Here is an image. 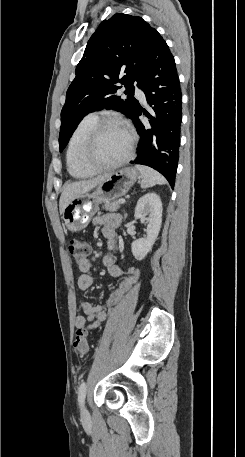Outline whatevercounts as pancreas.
<instances>
[{"mask_svg":"<svg viewBox=\"0 0 245 457\" xmlns=\"http://www.w3.org/2000/svg\"><path fill=\"white\" fill-rule=\"evenodd\" d=\"M120 204H122V202H118V200H113V202H105L102 208H105V210H110V212H113V210H118Z\"/></svg>","mask_w":245,"mask_h":457,"instance_id":"cf45deb5","label":"pancreas"}]
</instances>
